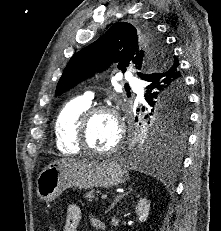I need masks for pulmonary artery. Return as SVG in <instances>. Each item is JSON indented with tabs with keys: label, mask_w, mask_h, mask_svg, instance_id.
I'll use <instances>...</instances> for the list:
<instances>
[{
	"label": "pulmonary artery",
	"mask_w": 221,
	"mask_h": 231,
	"mask_svg": "<svg viewBox=\"0 0 221 231\" xmlns=\"http://www.w3.org/2000/svg\"><path fill=\"white\" fill-rule=\"evenodd\" d=\"M125 82L133 87L136 88L139 84V80L135 77L132 76H125ZM94 98V94L92 92H87L83 95L82 99H84L86 102L90 103Z\"/></svg>",
	"instance_id": "pulmonary-artery-1"
}]
</instances>
